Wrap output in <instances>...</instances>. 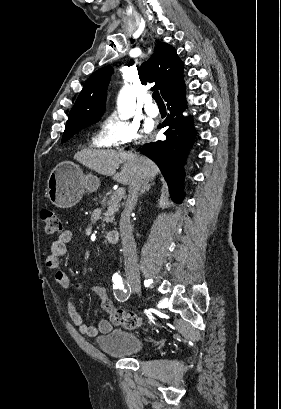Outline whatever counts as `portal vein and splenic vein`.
Listing matches in <instances>:
<instances>
[{
    "label": "portal vein and splenic vein",
    "instance_id": "portal-vein-and-splenic-vein-1",
    "mask_svg": "<svg viewBox=\"0 0 281 409\" xmlns=\"http://www.w3.org/2000/svg\"><path fill=\"white\" fill-rule=\"evenodd\" d=\"M127 189V186L125 185V184H122L121 186H120V188L119 189H117L116 190V195L118 196V197H115L114 198V201L112 202V205L113 206H117L118 205V203H123L124 202V197H123V195H124V191Z\"/></svg>",
    "mask_w": 281,
    "mask_h": 409
}]
</instances>
